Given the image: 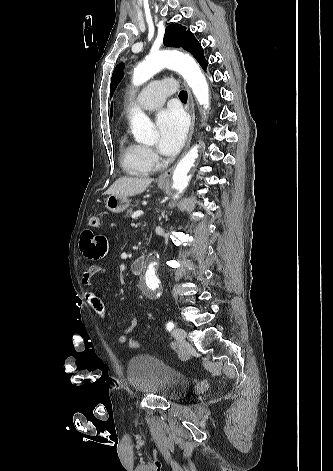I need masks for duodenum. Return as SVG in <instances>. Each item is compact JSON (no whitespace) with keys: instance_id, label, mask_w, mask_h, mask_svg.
<instances>
[{"instance_id":"obj_1","label":"duodenum","mask_w":333,"mask_h":471,"mask_svg":"<svg viewBox=\"0 0 333 471\" xmlns=\"http://www.w3.org/2000/svg\"><path fill=\"white\" fill-rule=\"evenodd\" d=\"M145 264L146 259L144 257H139L131 263L130 270L133 274H140L143 272Z\"/></svg>"}]
</instances>
